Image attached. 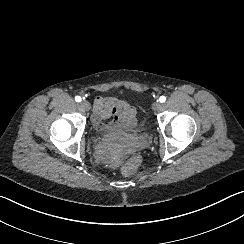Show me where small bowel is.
Listing matches in <instances>:
<instances>
[{
  "label": "small bowel",
  "mask_w": 244,
  "mask_h": 244,
  "mask_svg": "<svg viewBox=\"0 0 244 244\" xmlns=\"http://www.w3.org/2000/svg\"><path fill=\"white\" fill-rule=\"evenodd\" d=\"M93 117L95 124L106 130L129 129L135 125L134 108L125 100L113 96L95 100Z\"/></svg>",
  "instance_id": "obj_1"
}]
</instances>
